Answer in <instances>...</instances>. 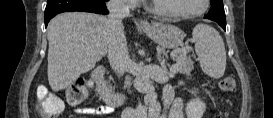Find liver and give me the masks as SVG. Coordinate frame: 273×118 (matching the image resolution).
<instances>
[{
  "mask_svg": "<svg viewBox=\"0 0 273 118\" xmlns=\"http://www.w3.org/2000/svg\"><path fill=\"white\" fill-rule=\"evenodd\" d=\"M111 27L108 18L85 12H65L49 25L48 81L53 91L70 86L107 54Z\"/></svg>",
  "mask_w": 273,
  "mask_h": 118,
  "instance_id": "liver-1",
  "label": "liver"
}]
</instances>
